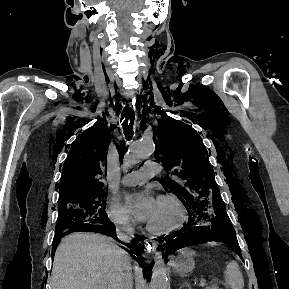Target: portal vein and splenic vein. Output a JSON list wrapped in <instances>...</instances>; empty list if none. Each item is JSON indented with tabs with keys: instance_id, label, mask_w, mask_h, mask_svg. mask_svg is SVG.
Masks as SVG:
<instances>
[{
	"instance_id": "18ae733b",
	"label": "portal vein and splenic vein",
	"mask_w": 289,
	"mask_h": 289,
	"mask_svg": "<svg viewBox=\"0 0 289 289\" xmlns=\"http://www.w3.org/2000/svg\"><path fill=\"white\" fill-rule=\"evenodd\" d=\"M199 286L200 287H205L206 286V280L205 279H201L199 282Z\"/></svg>"
}]
</instances>
